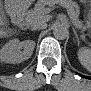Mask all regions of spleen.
Segmentation results:
<instances>
[{
    "label": "spleen",
    "mask_w": 91,
    "mask_h": 91,
    "mask_svg": "<svg viewBox=\"0 0 91 91\" xmlns=\"http://www.w3.org/2000/svg\"><path fill=\"white\" fill-rule=\"evenodd\" d=\"M78 59L80 63L86 68L91 67V51L88 48H81L78 50Z\"/></svg>",
    "instance_id": "spleen-1"
}]
</instances>
